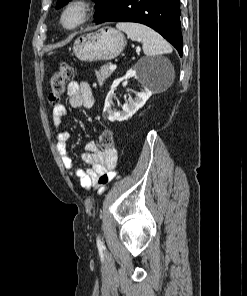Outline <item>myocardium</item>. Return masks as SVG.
Wrapping results in <instances>:
<instances>
[{"label": "myocardium", "instance_id": "f54148a6", "mask_svg": "<svg viewBox=\"0 0 247 296\" xmlns=\"http://www.w3.org/2000/svg\"><path fill=\"white\" fill-rule=\"evenodd\" d=\"M92 4L88 0H71L65 4L60 15V25L66 30H75L89 19ZM73 21L69 22V18Z\"/></svg>", "mask_w": 247, "mask_h": 296}]
</instances>
